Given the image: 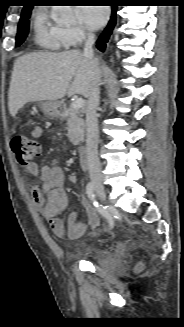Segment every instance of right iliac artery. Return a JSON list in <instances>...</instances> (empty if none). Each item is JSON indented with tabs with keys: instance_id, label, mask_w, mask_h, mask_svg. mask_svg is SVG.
<instances>
[{
	"instance_id": "1",
	"label": "right iliac artery",
	"mask_w": 184,
	"mask_h": 327,
	"mask_svg": "<svg viewBox=\"0 0 184 327\" xmlns=\"http://www.w3.org/2000/svg\"><path fill=\"white\" fill-rule=\"evenodd\" d=\"M86 193H87L88 198L92 202L93 206L96 208V210L108 220L109 227L111 229L113 227V219H112L111 215L107 212L106 208L103 207L102 205H100L96 201V196H95V192H94V185H93L92 182H89L87 184Z\"/></svg>"
}]
</instances>
